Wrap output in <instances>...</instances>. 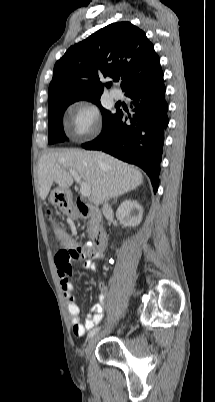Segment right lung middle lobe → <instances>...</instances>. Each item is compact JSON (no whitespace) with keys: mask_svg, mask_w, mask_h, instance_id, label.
<instances>
[{"mask_svg":"<svg viewBox=\"0 0 215 402\" xmlns=\"http://www.w3.org/2000/svg\"><path fill=\"white\" fill-rule=\"evenodd\" d=\"M100 96L101 95L87 98L62 97L48 103V143L53 144L66 140V136L62 126L63 114L70 104L78 100H88L100 107L101 113L103 115L104 127L114 117L115 114H112L110 111L105 110L101 107Z\"/></svg>","mask_w":215,"mask_h":402,"instance_id":"obj_1","label":"right lung middle lobe"}]
</instances>
